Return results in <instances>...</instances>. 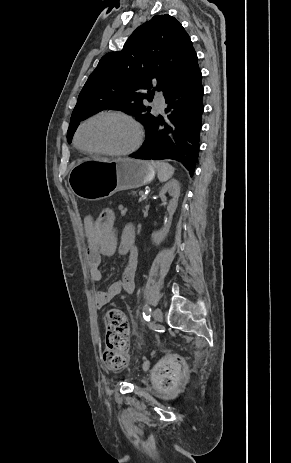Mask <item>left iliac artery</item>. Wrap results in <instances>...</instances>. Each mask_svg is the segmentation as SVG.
Listing matches in <instances>:
<instances>
[{
    "label": "left iliac artery",
    "instance_id": "left-iliac-artery-1",
    "mask_svg": "<svg viewBox=\"0 0 291 463\" xmlns=\"http://www.w3.org/2000/svg\"><path fill=\"white\" fill-rule=\"evenodd\" d=\"M150 312H151V309L149 308V306L145 305L143 309V318L146 321L150 320Z\"/></svg>",
    "mask_w": 291,
    "mask_h": 463
}]
</instances>
